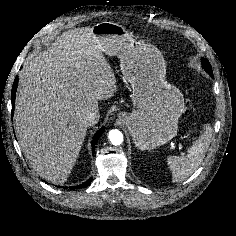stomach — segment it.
Segmentation results:
<instances>
[{"label": "stomach", "instance_id": "obj_1", "mask_svg": "<svg viewBox=\"0 0 236 236\" xmlns=\"http://www.w3.org/2000/svg\"><path fill=\"white\" fill-rule=\"evenodd\" d=\"M92 32L104 54L120 59L121 72L132 86L133 110L120 112L118 118L135 146L150 150L170 141L177 133L185 103L180 90L166 80L162 53L114 22L98 23Z\"/></svg>", "mask_w": 236, "mask_h": 236}]
</instances>
